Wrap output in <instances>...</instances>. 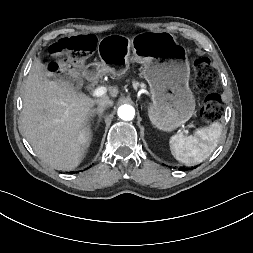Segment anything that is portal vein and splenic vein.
Returning a JSON list of instances; mask_svg holds the SVG:
<instances>
[{"instance_id":"1","label":"portal vein and splenic vein","mask_w":253,"mask_h":253,"mask_svg":"<svg viewBox=\"0 0 253 253\" xmlns=\"http://www.w3.org/2000/svg\"><path fill=\"white\" fill-rule=\"evenodd\" d=\"M106 91H107L106 88L101 86V87H98V88L94 89L93 92H92V95L94 97H102V96L105 95ZM183 132L185 134H188V130H184Z\"/></svg>"}]
</instances>
